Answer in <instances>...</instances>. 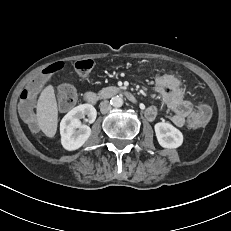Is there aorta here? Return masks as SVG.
Wrapping results in <instances>:
<instances>
[{"label":"aorta","mask_w":231,"mask_h":231,"mask_svg":"<svg viewBox=\"0 0 231 231\" xmlns=\"http://www.w3.org/2000/svg\"><path fill=\"white\" fill-rule=\"evenodd\" d=\"M110 104L114 107V108H120L123 105V98L121 96H114L111 98L110 100Z\"/></svg>","instance_id":"1"}]
</instances>
